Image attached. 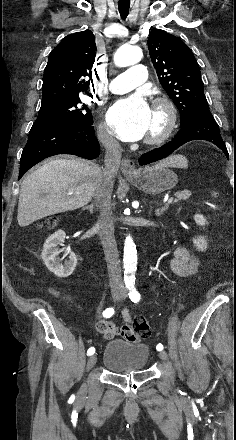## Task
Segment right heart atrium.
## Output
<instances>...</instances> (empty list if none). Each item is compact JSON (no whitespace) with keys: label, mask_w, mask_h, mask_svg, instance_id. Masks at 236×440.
Masks as SVG:
<instances>
[{"label":"right heart atrium","mask_w":236,"mask_h":440,"mask_svg":"<svg viewBox=\"0 0 236 440\" xmlns=\"http://www.w3.org/2000/svg\"><path fill=\"white\" fill-rule=\"evenodd\" d=\"M97 136L100 142L107 148L113 149L116 147L117 143L114 137L112 136L111 132L107 128L106 124L104 122L100 123L98 130H97Z\"/></svg>","instance_id":"1"}]
</instances>
